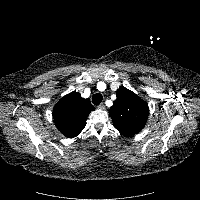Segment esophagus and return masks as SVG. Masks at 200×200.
Listing matches in <instances>:
<instances>
[{"label": "esophagus", "mask_w": 200, "mask_h": 200, "mask_svg": "<svg viewBox=\"0 0 200 200\" xmlns=\"http://www.w3.org/2000/svg\"><path fill=\"white\" fill-rule=\"evenodd\" d=\"M98 109H101V110L105 109L104 103H101V104L98 106Z\"/></svg>", "instance_id": "esophagus-1"}]
</instances>
